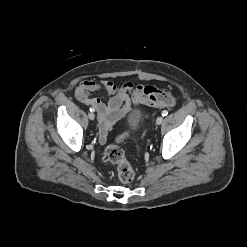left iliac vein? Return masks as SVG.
<instances>
[{
    "label": "left iliac vein",
    "mask_w": 247,
    "mask_h": 247,
    "mask_svg": "<svg viewBox=\"0 0 247 247\" xmlns=\"http://www.w3.org/2000/svg\"><path fill=\"white\" fill-rule=\"evenodd\" d=\"M162 122H163V117H158L157 119H156V123L158 124V125H160V124H162Z\"/></svg>",
    "instance_id": "4c4485c4"
}]
</instances>
